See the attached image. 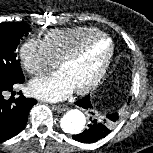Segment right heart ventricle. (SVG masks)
I'll list each match as a JSON object with an SVG mask.
<instances>
[{"label": "right heart ventricle", "mask_w": 153, "mask_h": 153, "mask_svg": "<svg viewBox=\"0 0 153 153\" xmlns=\"http://www.w3.org/2000/svg\"><path fill=\"white\" fill-rule=\"evenodd\" d=\"M101 33L100 30L94 27L53 29L44 35L43 41L53 59L59 62L84 41Z\"/></svg>", "instance_id": "e07e8e85"}]
</instances>
